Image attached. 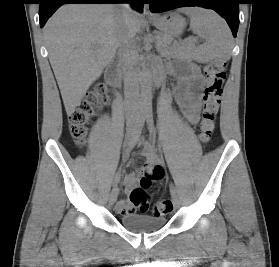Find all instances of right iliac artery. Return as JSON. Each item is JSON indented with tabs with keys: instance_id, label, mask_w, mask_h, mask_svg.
Masks as SVG:
<instances>
[{
	"instance_id": "1",
	"label": "right iliac artery",
	"mask_w": 279,
	"mask_h": 267,
	"mask_svg": "<svg viewBox=\"0 0 279 267\" xmlns=\"http://www.w3.org/2000/svg\"><path fill=\"white\" fill-rule=\"evenodd\" d=\"M144 122H145V116L140 115L138 120H137L135 131L131 135V137L128 139L127 149H126L125 154H124V159L128 158L130 151L133 149V147L135 146V144L139 140L142 128L144 126ZM119 181H120V175H119V173H117L114 177L113 185L116 186Z\"/></svg>"
}]
</instances>
